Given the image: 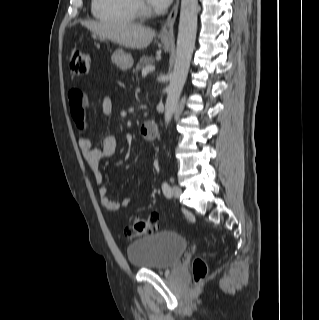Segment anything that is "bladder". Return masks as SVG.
Returning a JSON list of instances; mask_svg holds the SVG:
<instances>
[{
    "label": "bladder",
    "mask_w": 319,
    "mask_h": 320,
    "mask_svg": "<svg viewBox=\"0 0 319 320\" xmlns=\"http://www.w3.org/2000/svg\"><path fill=\"white\" fill-rule=\"evenodd\" d=\"M187 241L177 234L164 231L143 235L126 249L132 267L145 270H164L175 266L187 250Z\"/></svg>",
    "instance_id": "1"
}]
</instances>
